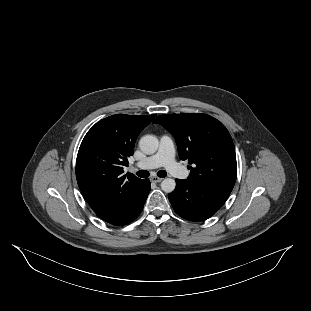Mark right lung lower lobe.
<instances>
[{"instance_id":"right-lung-lower-lobe-1","label":"right lung lower lobe","mask_w":311,"mask_h":311,"mask_svg":"<svg viewBox=\"0 0 311 311\" xmlns=\"http://www.w3.org/2000/svg\"><path fill=\"white\" fill-rule=\"evenodd\" d=\"M150 189V181L142 180L137 189L124 202L99 217L116 226L132 222L141 213Z\"/></svg>"}]
</instances>
